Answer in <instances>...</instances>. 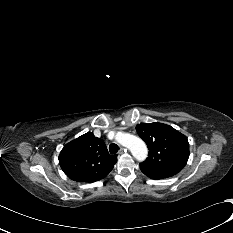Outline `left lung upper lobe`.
Instances as JSON below:
<instances>
[{
    "label": "left lung upper lobe",
    "instance_id": "1",
    "mask_svg": "<svg viewBox=\"0 0 233 233\" xmlns=\"http://www.w3.org/2000/svg\"><path fill=\"white\" fill-rule=\"evenodd\" d=\"M137 133L149 149L148 158L140 163L141 171L151 179H163L177 174L189 158V143L185 135L163 123H141Z\"/></svg>",
    "mask_w": 233,
    "mask_h": 233
}]
</instances>
